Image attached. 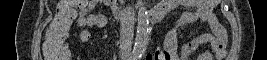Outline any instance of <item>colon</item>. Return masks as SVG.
<instances>
[{
    "label": "colon",
    "instance_id": "1",
    "mask_svg": "<svg viewBox=\"0 0 267 60\" xmlns=\"http://www.w3.org/2000/svg\"><path fill=\"white\" fill-rule=\"evenodd\" d=\"M86 0H62L59 2L51 27L45 34L43 54L47 60H70L71 53L65 40L75 17V8L84 6ZM78 27L85 26L83 21H76Z\"/></svg>",
    "mask_w": 267,
    "mask_h": 60
}]
</instances>
